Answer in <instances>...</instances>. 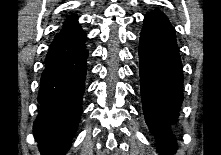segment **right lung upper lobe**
<instances>
[{
  "label": "right lung upper lobe",
  "mask_w": 221,
  "mask_h": 155,
  "mask_svg": "<svg viewBox=\"0 0 221 155\" xmlns=\"http://www.w3.org/2000/svg\"><path fill=\"white\" fill-rule=\"evenodd\" d=\"M75 23H77L76 18H74V17H69L67 20H65L64 26L71 25V24H75Z\"/></svg>",
  "instance_id": "1"
}]
</instances>
